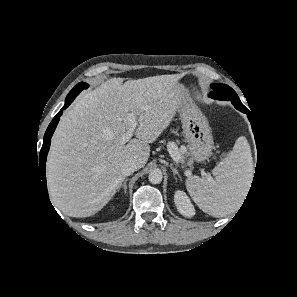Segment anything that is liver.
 <instances>
[{
  "label": "liver",
  "instance_id": "1",
  "mask_svg": "<svg viewBox=\"0 0 297 297\" xmlns=\"http://www.w3.org/2000/svg\"><path fill=\"white\" fill-rule=\"evenodd\" d=\"M180 78L160 75L125 83L111 78L79 97L61 117L47 160V185L57 208L71 217L92 216L115 195L126 161L139 168L146 164L149 143L178 111ZM131 112L138 122L137 138L121 144Z\"/></svg>",
  "mask_w": 297,
  "mask_h": 297
}]
</instances>
